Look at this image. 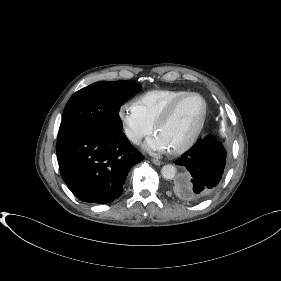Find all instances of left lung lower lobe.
<instances>
[{
	"label": "left lung lower lobe",
	"instance_id": "0a47b994",
	"mask_svg": "<svg viewBox=\"0 0 281 281\" xmlns=\"http://www.w3.org/2000/svg\"><path fill=\"white\" fill-rule=\"evenodd\" d=\"M190 173L180 185L181 195L190 202L207 199L218 189L226 165L222 143L209 135L199 139L176 162Z\"/></svg>",
	"mask_w": 281,
	"mask_h": 281
}]
</instances>
